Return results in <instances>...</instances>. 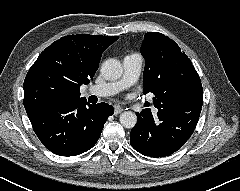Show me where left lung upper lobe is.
Returning <instances> with one entry per match:
<instances>
[{"mask_svg":"<svg viewBox=\"0 0 240 191\" xmlns=\"http://www.w3.org/2000/svg\"><path fill=\"white\" fill-rule=\"evenodd\" d=\"M141 54L146 61L144 93L154 94L156 108H169L190 96L203 103L199 75L177 43L161 33L148 32L141 45Z\"/></svg>","mask_w":240,"mask_h":191,"instance_id":"5c2ea615","label":"left lung upper lobe"}]
</instances>
